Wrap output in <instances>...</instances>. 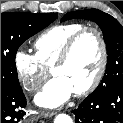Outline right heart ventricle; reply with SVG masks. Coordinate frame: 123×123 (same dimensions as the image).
Masks as SVG:
<instances>
[{"mask_svg":"<svg viewBox=\"0 0 123 123\" xmlns=\"http://www.w3.org/2000/svg\"><path fill=\"white\" fill-rule=\"evenodd\" d=\"M85 27L82 23L54 25L45 30L34 42L36 56L47 68L51 69L60 57L69 38Z\"/></svg>","mask_w":123,"mask_h":123,"instance_id":"1","label":"right heart ventricle"}]
</instances>
